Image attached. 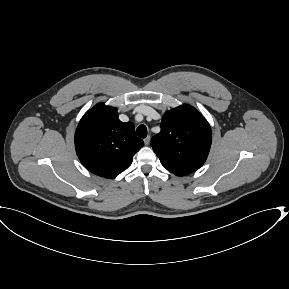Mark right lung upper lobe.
Masks as SVG:
<instances>
[{
  "label": "right lung upper lobe",
  "instance_id": "obj_1",
  "mask_svg": "<svg viewBox=\"0 0 289 289\" xmlns=\"http://www.w3.org/2000/svg\"><path fill=\"white\" fill-rule=\"evenodd\" d=\"M144 145L131 122L123 123L117 110L102 103L87 111L75 132V148L92 173L113 178L126 170Z\"/></svg>",
  "mask_w": 289,
  "mask_h": 289
}]
</instances>
